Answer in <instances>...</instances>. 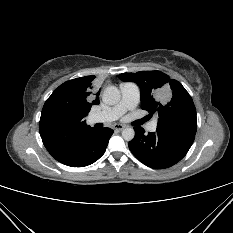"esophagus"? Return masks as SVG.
I'll return each mask as SVG.
<instances>
[{
	"label": "esophagus",
	"mask_w": 233,
	"mask_h": 233,
	"mask_svg": "<svg viewBox=\"0 0 233 233\" xmlns=\"http://www.w3.org/2000/svg\"><path fill=\"white\" fill-rule=\"evenodd\" d=\"M124 128H126V126H125V125H122V124H115V125L113 126V129H114V130H117V131H121V130H123Z\"/></svg>",
	"instance_id": "1"
}]
</instances>
